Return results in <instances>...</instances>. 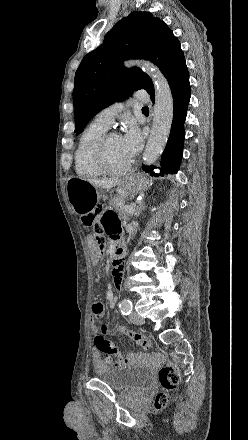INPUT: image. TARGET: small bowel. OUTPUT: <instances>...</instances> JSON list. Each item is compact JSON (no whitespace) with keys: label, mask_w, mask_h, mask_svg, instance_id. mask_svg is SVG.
Instances as JSON below:
<instances>
[{"label":"small bowel","mask_w":248,"mask_h":440,"mask_svg":"<svg viewBox=\"0 0 248 440\" xmlns=\"http://www.w3.org/2000/svg\"><path fill=\"white\" fill-rule=\"evenodd\" d=\"M102 222L104 225L105 231L114 239H120V220L118 218V215L111 211L107 210L103 213L102 216ZM116 266L113 264L112 269V276L115 286L118 288L121 286V283L123 281V265L124 260L121 257L116 258L115 260ZM107 300L110 306L114 305L115 301V294L114 290L112 288H109L107 290ZM105 312L104 305L101 302H96L92 306V314H91V330L95 336L98 335V328H97V321H99ZM154 359L153 356L147 354V353H140L137 355H130L127 359H123L121 362H141V363H147L149 361H152ZM113 363V360L111 358L102 359L99 352H95L93 355V364L97 372L103 371L104 369L108 368L110 364Z\"/></svg>","instance_id":"obj_1"}]
</instances>
